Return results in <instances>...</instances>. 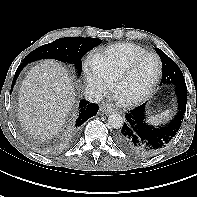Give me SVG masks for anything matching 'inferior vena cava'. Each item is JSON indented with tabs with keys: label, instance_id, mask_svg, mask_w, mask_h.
I'll use <instances>...</instances> for the list:
<instances>
[{
	"label": "inferior vena cava",
	"instance_id": "1",
	"mask_svg": "<svg viewBox=\"0 0 197 197\" xmlns=\"http://www.w3.org/2000/svg\"><path fill=\"white\" fill-rule=\"evenodd\" d=\"M84 95L85 99L90 103H99L103 99L102 93L93 88H87Z\"/></svg>",
	"mask_w": 197,
	"mask_h": 197
}]
</instances>
